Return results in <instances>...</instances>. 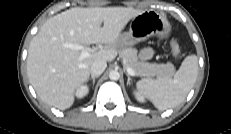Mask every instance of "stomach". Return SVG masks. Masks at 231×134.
I'll return each instance as SVG.
<instances>
[{
  "instance_id": "0dacf381",
  "label": "stomach",
  "mask_w": 231,
  "mask_h": 134,
  "mask_svg": "<svg viewBox=\"0 0 231 134\" xmlns=\"http://www.w3.org/2000/svg\"><path fill=\"white\" fill-rule=\"evenodd\" d=\"M170 32L171 25L164 15L153 10L143 11L132 19L129 31L120 35L118 48L131 47L151 36L167 38Z\"/></svg>"
}]
</instances>
